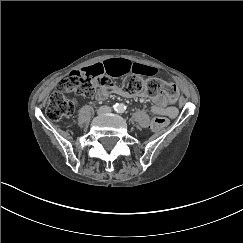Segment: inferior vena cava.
Instances as JSON below:
<instances>
[{
	"mask_svg": "<svg viewBox=\"0 0 243 243\" xmlns=\"http://www.w3.org/2000/svg\"><path fill=\"white\" fill-rule=\"evenodd\" d=\"M111 111V106L110 105H105L104 107H99L98 108V113L99 114H104L105 112H110Z\"/></svg>",
	"mask_w": 243,
	"mask_h": 243,
	"instance_id": "inferior-vena-cava-1",
	"label": "inferior vena cava"
}]
</instances>
